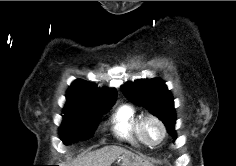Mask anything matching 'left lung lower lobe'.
Wrapping results in <instances>:
<instances>
[{
    "instance_id": "obj_1",
    "label": "left lung lower lobe",
    "mask_w": 236,
    "mask_h": 166,
    "mask_svg": "<svg viewBox=\"0 0 236 166\" xmlns=\"http://www.w3.org/2000/svg\"><path fill=\"white\" fill-rule=\"evenodd\" d=\"M169 133H170V135H172V137H173L174 139H176V134H175L174 129H171V130L169 131Z\"/></svg>"
}]
</instances>
